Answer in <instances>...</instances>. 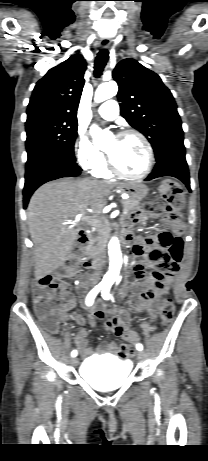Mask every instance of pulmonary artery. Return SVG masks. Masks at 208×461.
<instances>
[{
  "mask_svg": "<svg viewBox=\"0 0 208 461\" xmlns=\"http://www.w3.org/2000/svg\"><path fill=\"white\" fill-rule=\"evenodd\" d=\"M97 113L105 120H114L119 114V106L115 100H108L99 106Z\"/></svg>",
  "mask_w": 208,
  "mask_h": 461,
  "instance_id": "1",
  "label": "pulmonary artery"
}]
</instances>
